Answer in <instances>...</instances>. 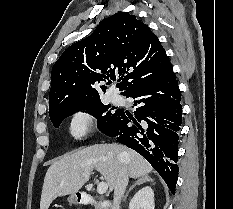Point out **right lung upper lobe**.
I'll return each mask as SVG.
<instances>
[{"instance_id":"cb5924a9","label":"right lung upper lobe","mask_w":233,"mask_h":209,"mask_svg":"<svg viewBox=\"0 0 233 209\" xmlns=\"http://www.w3.org/2000/svg\"><path fill=\"white\" fill-rule=\"evenodd\" d=\"M171 65L156 35L136 16L118 12L66 49L51 72L49 113L54 109L100 100L102 81L120 77L126 96L160 77ZM100 87V89H99Z\"/></svg>"}]
</instances>
